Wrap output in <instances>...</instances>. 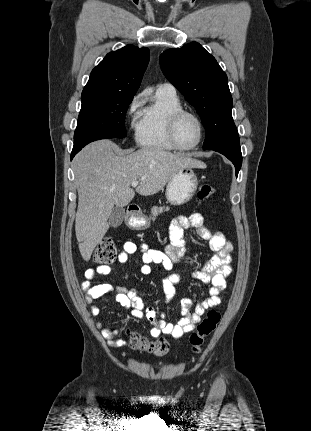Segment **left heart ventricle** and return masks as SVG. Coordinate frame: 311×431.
<instances>
[{"instance_id":"b2bd125f","label":"left heart ventricle","mask_w":311,"mask_h":431,"mask_svg":"<svg viewBox=\"0 0 311 431\" xmlns=\"http://www.w3.org/2000/svg\"><path fill=\"white\" fill-rule=\"evenodd\" d=\"M201 135V127L197 120L192 115H185L181 118L178 129L177 136L180 144L185 147L194 145Z\"/></svg>"}]
</instances>
